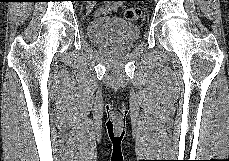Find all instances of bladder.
I'll list each match as a JSON object with an SVG mask.
<instances>
[{
    "label": "bladder",
    "instance_id": "1",
    "mask_svg": "<svg viewBox=\"0 0 229 161\" xmlns=\"http://www.w3.org/2000/svg\"><path fill=\"white\" fill-rule=\"evenodd\" d=\"M89 37L98 44H130L140 35L138 26L115 16H104L87 24Z\"/></svg>",
    "mask_w": 229,
    "mask_h": 161
}]
</instances>
